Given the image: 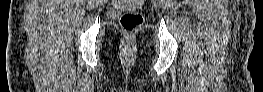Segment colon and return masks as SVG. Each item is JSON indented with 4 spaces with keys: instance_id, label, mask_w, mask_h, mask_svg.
Masks as SVG:
<instances>
[{
    "instance_id": "colon-1",
    "label": "colon",
    "mask_w": 263,
    "mask_h": 92,
    "mask_svg": "<svg viewBox=\"0 0 263 92\" xmlns=\"http://www.w3.org/2000/svg\"><path fill=\"white\" fill-rule=\"evenodd\" d=\"M139 3H143L144 0H137ZM143 22V17L138 11H127L123 13L120 19V24L123 30L127 33L134 32Z\"/></svg>"
}]
</instances>
